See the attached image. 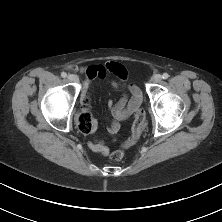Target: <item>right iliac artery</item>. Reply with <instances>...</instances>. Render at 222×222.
Wrapping results in <instances>:
<instances>
[{
    "label": "right iliac artery",
    "instance_id": "1",
    "mask_svg": "<svg viewBox=\"0 0 222 222\" xmlns=\"http://www.w3.org/2000/svg\"><path fill=\"white\" fill-rule=\"evenodd\" d=\"M61 76H62L63 78H65V77H67V74H66L65 72H62V73H61Z\"/></svg>",
    "mask_w": 222,
    "mask_h": 222
}]
</instances>
